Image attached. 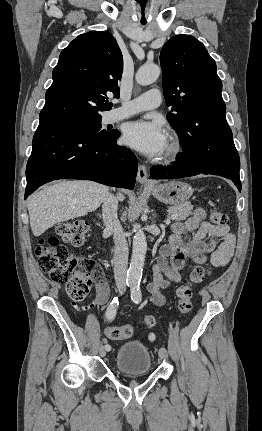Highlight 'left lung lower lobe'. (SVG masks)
<instances>
[{
	"instance_id": "0a47b994",
	"label": "left lung lower lobe",
	"mask_w": 262,
	"mask_h": 431,
	"mask_svg": "<svg viewBox=\"0 0 262 431\" xmlns=\"http://www.w3.org/2000/svg\"><path fill=\"white\" fill-rule=\"evenodd\" d=\"M240 159L237 153H221V157L216 158L208 164L189 162L178 159L175 165L170 167L154 166L151 168V176L154 179H172L199 174H211L223 176L231 179L238 190L241 191V181L239 177Z\"/></svg>"
}]
</instances>
